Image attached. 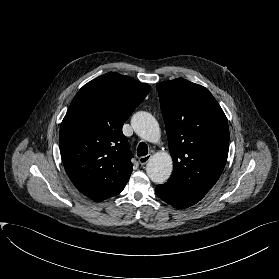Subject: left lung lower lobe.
<instances>
[{
    "label": "left lung lower lobe",
    "instance_id": "left-lung-lower-lobe-1",
    "mask_svg": "<svg viewBox=\"0 0 279 279\" xmlns=\"http://www.w3.org/2000/svg\"><path fill=\"white\" fill-rule=\"evenodd\" d=\"M155 192L163 201L179 209L188 208L204 197L201 193L174 185L170 182L158 185Z\"/></svg>",
    "mask_w": 279,
    "mask_h": 279
}]
</instances>
